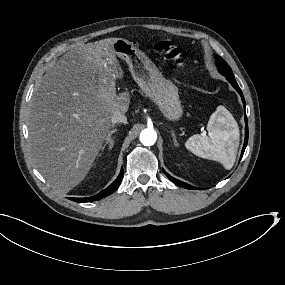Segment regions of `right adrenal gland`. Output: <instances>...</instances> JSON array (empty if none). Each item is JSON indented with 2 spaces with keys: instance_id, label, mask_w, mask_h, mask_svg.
<instances>
[{
  "instance_id": "2a0ac1e0",
  "label": "right adrenal gland",
  "mask_w": 285,
  "mask_h": 285,
  "mask_svg": "<svg viewBox=\"0 0 285 285\" xmlns=\"http://www.w3.org/2000/svg\"><path fill=\"white\" fill-rule=\"evenodd\" d=\"M116 132V129H113L109 132V136L106 139V143L104 145V147L102 148L101 152L103 153L105 150H107V152H110L113 148V139L110 138V136L112 134H114Z\"/></svg>"
}]
</instances>
